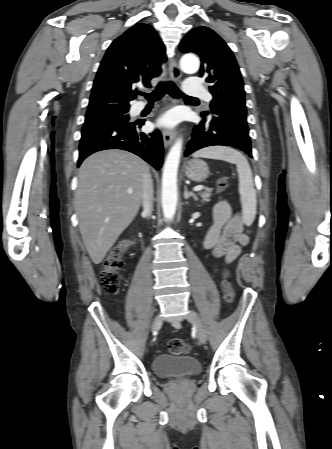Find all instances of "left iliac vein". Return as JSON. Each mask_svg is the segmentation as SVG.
I'll list each match as a JSON object with an SVG mask.
<instances>
[{
    "label": "left iliac vein",
    "instance_id": "1",
    "mask_svg": "<svg viewBox=\"0 0 332 449\" xmlns=\"http://www.w3.org/2000/svg\"><path fill=\"white\" fill-rule=\"evenodd\" d=\"M187 320L194 325L197 333V338L201 343H205L207 340L206 331L203 327V324L197 315V313L193 310H190L189 314L187 315Z\"/></svg>",
    "mask_w": 332,
    "mask_h": 449
}]
</instances>
